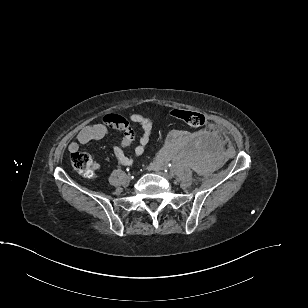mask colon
<instances>
[{"mask_svg":"<svg viewBox=\"0 0 308 308\" xmlns=\"http://www.w3.org/2000/svg\"><path fill=\"white\" fill-rule=\"evenodd\" d=\"M171 116L184 122L190 127H200L205 123V117L198 112L173 109ZM71 163L73 168L80 174L89 177L94 174L92 158L87 152L74 151L71 153Z\"/></svg>","mask_w":308,"mask_h":308,"instance_id":"obj_1","label":"colon"}]
</instances>
